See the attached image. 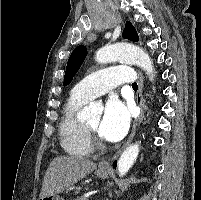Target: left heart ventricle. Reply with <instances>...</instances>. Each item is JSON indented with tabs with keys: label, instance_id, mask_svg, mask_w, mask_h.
I'll use <instances>...</instances> for the list:
<instances>
[{
	"label": "left heart ventricle",
	"instance_id": "obj_1",
	"mask_svg": "<svg viewBox=\"0 0 201 200\" xmlns=\"http://www.w3.org/2000/svg\"><path fill=\"white\" fill-rule=\"evenodd\" d=\"M101 117H97V118H94L88 122H86V124L91 128L93 129L94 131H96L97 133L99 132V128H100V125H101Z\"/></svg>",
	"mask_w": 201,
	"mask_h": 200
}]
</instances>
